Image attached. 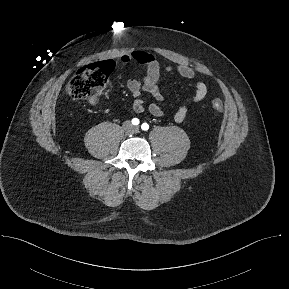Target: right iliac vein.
Instances as JSON below:
<instances>
[{"instance_id":"63e3f726","label":"right iliac vein","mask_w":289,"mask_h":289,"mask_svg":"<svg viewBox=\"0 0 289 289\" xmlns=\"http://www.w3.org/2000/svg\"><path fill=\"white\" fill-rule=\"evenodd\" d=\"M124 126H125L126 129H130L131 128V124L129 122H127Z\"/></svg>"}]
</instances>
